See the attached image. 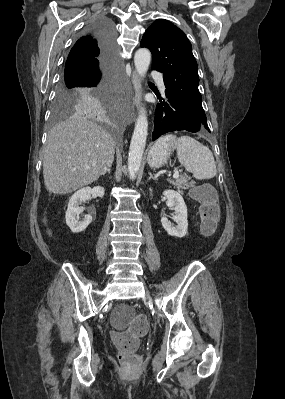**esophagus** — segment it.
Here are the masks:
<instances>
[{
    "instance_id": "obj_1",
    "label": "esophagus",
    "mask_w": 285,
    "mask_h": 399,
    "mask_svg": "<svg viewBox=\"0 0 285 399\" xmlns=\"http://www.w3.org/2000/svg\"><path fill=\"white\" fill-rule=\"evenodd\" d=\"M131 80L134 88V96L132 98L131 107L128 109V120L133 122L136 116L135 107L139 108L141 100V85L135 70H132Z\"/></svg>"
}]
</instances>
